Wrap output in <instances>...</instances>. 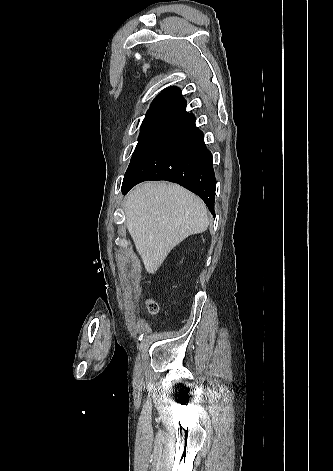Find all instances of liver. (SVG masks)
<instances>
[{
    "label": "liver",
    "instance_id": "liver-1",
    "mask_svg": "<svg viewBox=\"0 0 333 471\" xmlns=\"http://www.w3.org/2000/svg\"><path fill=\"white\" fill-rule=\"evenodd\" d=\"M126 226L148 273H155L169 252L209 225L203 201L177 184L145 182L126 197Z\"/></svg>",
    "mask_w": 333,
    "mask_h": 471
}]
</instances>
